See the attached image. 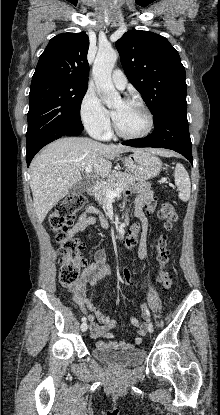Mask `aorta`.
<instances>
[{"mask_svg":"<svg viewBox=\"0 0 220 415\" xmlns=\"http://www.w3.org/2000/svg\"><path fill=\"white\" fill-rule=\"evenodd\" d=\"M118 53L113 49H99L93 65V78L96 88L105 105L111 107L120 102L121 97L115 90L111 73L117 61Z\"/></svg>","mask_w":220,"mask_h":415,"instance_id":"762f6f07","label":"aorta"}]
</instances>
